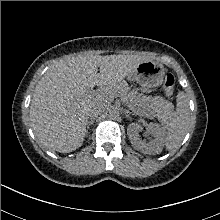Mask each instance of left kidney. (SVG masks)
<instances>
[{
	"instance_id": "left-kidney-1",
	"label": "left kidney",
	"mask_w": 220,
	"mask_h": 220,
	"mask_svg": "<svg viewBox=\"0 0 220 220\" xmlns=\"http://www.w3.org/2000/svg\"><path fill=\"white\" fill-rule=\"evenodd\" d=\"M141 130L142 127L138 123H132L128 126L127 134L134 148L149 155L159 154L163 148L165 129L157 123H150L148 131L154 136V140L147 144L140 139L139 132Z\"/></svg>"
}]
</instances>
